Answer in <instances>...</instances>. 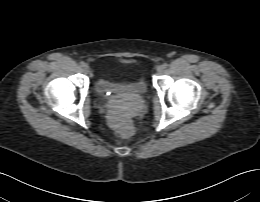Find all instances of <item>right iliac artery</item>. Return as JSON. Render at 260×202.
<instances>
[{
  "label": "right iliac artery",
  "mask_w": 260,
  "mask_h": 202,
  "mask_svg": "<svg viewBox=\"0 0 260 202\" xmlns=\"http://www.w3.org/2000/svg\"><path fill=\"white\" fill-rule=\"evenodd\" d=\"M79 65H80L81 67H83V66L85 65V63H84L83 61H81V62L79 63Z\"/></svg>",
  "instance_id": "right-iliac-artery-1"
}]
</instances>
